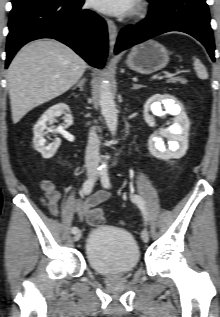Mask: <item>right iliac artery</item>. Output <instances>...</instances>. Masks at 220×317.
<instances>
[{
	"label": "right iliac artery",
	"instance_id": "right-iliac-artery-1",
	"mask_svg": "<svg viewBox=\"0 0 220 317\" xmlns=\"http://www.w3.org/2000/svg\"><path fill=\"white\" fill-rule=\"evenodd\" d=\"M98 173H100V172H98ZM94 182H95V177L89 178L88 180H86V181L84 182V184H83V193H84L85 195H88V194L91 193L92 188H93V186H94ZM77 231H78V228H77V227H73V228L71 229V232H72L73 234H75Z\"/></svg>",
	"mask_w": 220,
	"mask_h": 317
}]
</instances>
